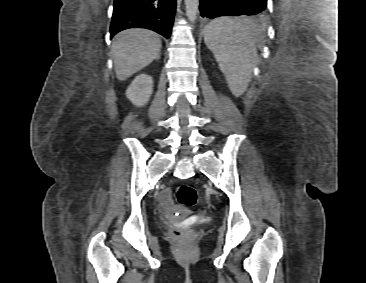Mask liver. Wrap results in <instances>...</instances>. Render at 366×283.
I'll use <instances>...</instances> for the list:
<instances>
[{"label":"liver","instance_id":"liver-1","mask_svg":"<svg viewBox=\"0 0 366 283\" xmlns=\"http://www.w3.org/2000/svg\"><path fill=\"white\" fill-rule=\"evenodd\" d=\"M161 39L144 28H129L119 32L112 44V56L117 79L124 81L148 66L160 54Z\"/></svg>","mask_w":366,"mask_h":283}]
</instances>
